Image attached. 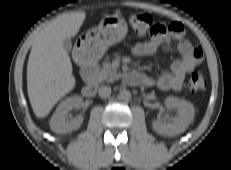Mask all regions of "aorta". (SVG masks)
I'll return each instance as SVG.
<instances>
[{"label": "aorta", "instance_id": "aorta-1", "mask_svg": "<svg viewBox=\"0 0 231 170\" xmlns=\"http://www.w3.org/2000/svg\"><path fill=\"white\" fill-rule=\"evenodd\" d=\"M118 99L124 102H128L131 100V93L129 90L122 89L119 91Z\"/></svg>", "mask_w": 231, "mask_h": 170}]
</instances>
